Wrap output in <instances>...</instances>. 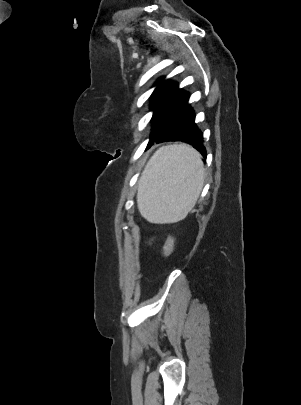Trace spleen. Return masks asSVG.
<instances>
[{
  "mask_svg": "<svg viewBox=\"0 0 301 405\" xmlns=\"http://www.w3.org/2000/svg\"><path fill=\"white\" fill-rule=\"evenodd\" d=\"M204 184V165L192 147L179 144L158 149L139 181L137 203L151 223L183 220L195 205Z\"/></svg>",
  "mask_w": 301,
  "mask_h": 405,
  "instance_id": "spleen-1",
  "label": "spleen"
}]
</instances>
